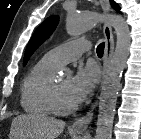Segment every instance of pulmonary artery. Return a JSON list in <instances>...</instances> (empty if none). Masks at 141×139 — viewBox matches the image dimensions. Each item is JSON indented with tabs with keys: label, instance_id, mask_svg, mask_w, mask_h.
Here are the masks:
<instances>
[{
	"label": "pulmonary artery",
	"instance_id": "1",
	"mask_svg": "<svg viewBox=\"0 0 141 139\" xmlns=\"http://www.w3.org/2000/svg\"><path fill=\"white\" fill-rule=\"evenodd\" d=\"M87 40H73L59 45L45 54V58L58 67L78 59L83 53L90 50Z\"/></svg>",
	"mask_w": 141,
	"mask_h": 139
}]
</instances>
